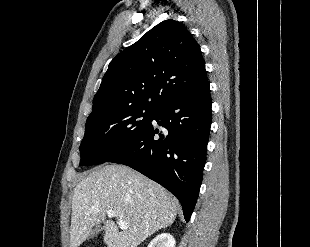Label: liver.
Listing matches in <instances>:
<instances>
[{"mask_svg":"<svg viewBox=\"0 0 310 247\" xmlns=\"http://www.w3.org/2000/svg\"><path fill=\"white\" fill-rule=\"evenodd\" d=\"M178 201L167 190L124 165H106L93 170L74 188L70 247H79L92 229L104 225L107 247H137L176 218ZM108 210L127 228L119 231Z\"/></svg>","mask_w":310,"mask_h":247,"instance_id":"liver-1","label":"liver"}]
</instances>
